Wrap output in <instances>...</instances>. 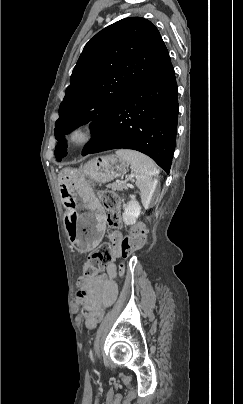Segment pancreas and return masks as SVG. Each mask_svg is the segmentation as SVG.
<instances>
[{"instance_id":"1","label":"pancreas","mask_w":243,"mask_h":404,"mask_svg":"<svg viewBox=\"0 0 243 404\" xmlns=\"http://www.w3.org/2000/svg\"><path fill=\"white\" fill-rule=\"evenodd\" d=\"M107 188H112V190H120V192H123V190H128V186H126V184H120V182H115V184H109Z\"/></svg>"}]
</instances>
